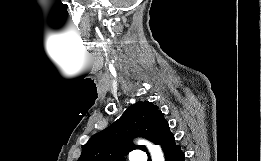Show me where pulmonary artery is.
<instances>
[{"label": "pulmonary artery", "mask_w": 261, "mask_h": 161, "mask_svg": "<svg viewBox=\"0 0 261 161\" xmlns=\"http://www.w3.org/2000/svg\"><path fill=\"white\" fill-rule=\"evenodd\" d=\"M136 161H146V158L143 155H140L136 158Z\"/></svg>", "instance_id": "obj_1"}]
</instances>
